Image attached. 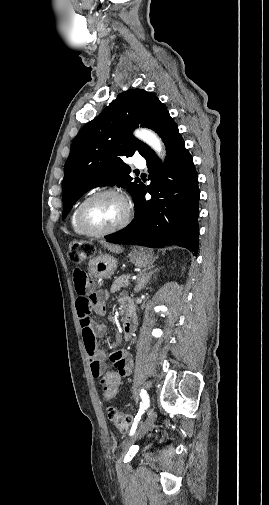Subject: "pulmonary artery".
Here are the masks:
<instances>
[{"mask_svg": "<svg viewBox=\"0 0 269 505\" xmlns=\"http://www.w3.org/2000/svg\"><path fill=\"white\" fill-rule=\"evenodd\" d=\"M133 164L135 167H137L139 169H143L146 166L145 160L142 158H135L133 161Z\"/></svg>", "mask_w": 269, "mask_h": 505, "instance_id": "e3ab8cb5", "label": "pulmonary artery"}]
</instances>
